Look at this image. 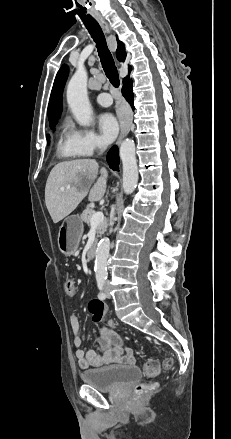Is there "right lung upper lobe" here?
<instances>
[{"label": "right lung upper lobe", "mask_w": 231, "mask_h": 439, "mask_svg": "<svg viewBox=\"0 0 231 439\" xmlns=\"http://www.w3.org/2000/svg\"><path fill=\"white\" fill-rule=\"evenodd\" d=\"M118 48L116 50V55L119 61H124L126 57L125 46L124 44L117 40ZM129 72L131 71V67L129 66ZM68 76V67L63 65L54 81V85L52 88L50 101L48 105V118L50 122V127L55 126L58 122V118L62 111V91ZM128 77V76H127ZM126 77V78H127Z\"/></svg>", "instance_id": "cb5924a9"}]
</instances>
